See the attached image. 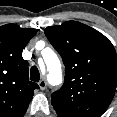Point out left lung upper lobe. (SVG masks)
<instances>
[{"label":"left lung upper lobe","instance_id":"5c2ea615","mask_svg":"<svg viewBox=\"0 0 117 117\" xmlns=\"http://www.w3.org/2000/svg\"><path fill=\"white\" fill-rule=\"evenodd\" d=\"M44 32L66 67L64 84L51 100L58 116H100L117 86V56L112 43L76 21L49 26Z\"/></svg>","mask_w":117,"mask_h":117}]
</instances>
